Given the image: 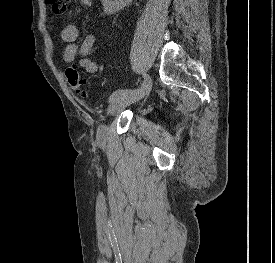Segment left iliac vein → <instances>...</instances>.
Wrapping results in <instances>:
<instances>
[{
  "label": "left iliac vein",
  "mask_w": 275,
  "mask_h": 263,
  "mask_svg": "<svg viewBox=\"0 0 275 263\" xmlns=\"http://www.w3.org/2000/svg\"><path fill=\"white\" fill-rule=\"evenodd\" d=\"M152 82L150 80V83L141 91L136 93H130L127 95H123L121 97H118L114 99L109 107L108 115H113L117 111L121 110L122 108H125L126 106L139 101L143 97H145L151 90ZM107 133H108V127L107 125H101L97 130V142L99 144H104L107 140Z\"/></svg>",
  "instance_id": "1"
}]
</instances>
